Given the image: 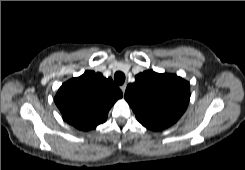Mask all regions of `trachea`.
I'll use <instances>...</instances> for the list:
<instances>
[{
  "label": "trachea",
  "mask_w": 245,
  "mask_h": 170,
  "mask_svg": "<svg viewBox=\"0 0 245 170\" xmlns=\"http://www.w3.org/2000/svg\"><path fill=\"white\" fill-rule=\"evenodd\" d=\"M114 80L118 85H122L125 82V75L122 72H116Z\"/></svg>",
  "instance_id": "1"
}]
</instances>
